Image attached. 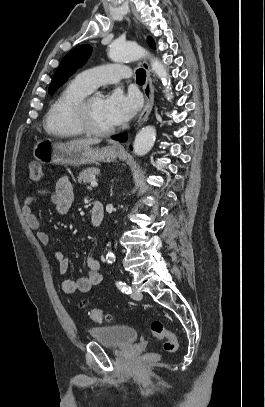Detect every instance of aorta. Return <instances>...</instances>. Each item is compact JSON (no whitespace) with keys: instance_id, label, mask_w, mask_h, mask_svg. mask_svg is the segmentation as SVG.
Returning <instances> with one entry per match:
<instances>
[{"instance_id":"aorta-1","label":"aorta","mask_w":265,"mask_h":407,"mask_svg":"<svg viewBox=\"0 0 265 407\" xmlns=\"http://www.w3.org/2000/svg\"><path fill=\"white\" fill-rule=\"evenodd\" d=\"M147 52L134 42H119L114 41L108 51L109 58L114 62H130L137 61L144 57ZM151 69L156 76L162 81L165 87V93L168 100L172 99L171 83L168 79V72L165 66L156 58L150 57ZM156 139V130L153 126H147L142 128L135 137L133 149L135 154L142 156L148 153L153 147ZM107 259L112 262L114 256L111 252H108Z\"/></svg>"}]
</instances>
